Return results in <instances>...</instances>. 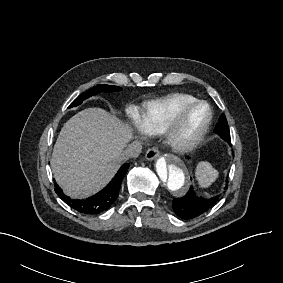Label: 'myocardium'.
I'll use <instances>...</instances> for the list:
<instances>
[{
    "instance_id": "obj_1",
    "label": "myocardium",
    "mask_w": 283,
    "mask_h": 283,
    "mask_svg": "<svg viewBox=\"0 0 283 283\" xmlns=\"http://www.w3.org/2000/svg\"><path fill=\"white\" fill-rule=\"evenodd\" d=\"M177 101L174 99H165L161 102L162 113L160 116L159 136L164 140L165 144L174 152L187 153L196 148L207 135L213 121V109L211 105L203 100H195L186 103L181 110L188 111L195 107H204L206 116L197 130L186 140L177 141L174 138V131L170 129V110L177 106Z\"/></svg>"
}]
</instances>
